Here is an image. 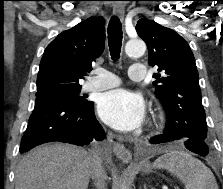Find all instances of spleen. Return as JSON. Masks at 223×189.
Segmentation results:
<instances>
[{
  "mask_svg": "<svg viewBox=\"0 0 223 189\" xmlns=\"http://www.w3.org/2000/svg\"><path fill=\"white\" fill-rule=\"evenodd\" d=\"M153 167L168 170L184 184L185 189H218L211 170L186 152H167L155 160Z\"/></svg>",
  "mask_w": 223,
  "mask_h": 189,
  "instance_id": "obj_1",
  "label": "spleen"
}]
</instances>
